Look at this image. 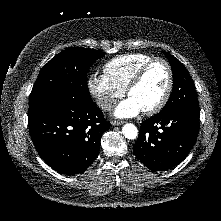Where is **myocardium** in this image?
<instances>
[{
	"label": "myocardium",
	"instance_id": "f54148a6",
	"mask_svg": "<svg viewBox=\"0 0 221 221\" xmlns=\"http://www.w3.org/2000/svg\"><path fill=\"white\" fill-rule=\"evenodd\" d=\"M156 62L162 63L167 70V76H168L167 85L161 99L157 102V104H155L153 107L149 109L142 110V113L145 115H153L158 113L166 105L171 95L174 78H173L172 67L169 64V62L161 57L151 58L150 60H148L147 62H145L143 65L140 66V68L133 75L132 79L130 80V82L128 83L125 89L126 95L129 96L130 92L141 82L143 76L145 75L149 67Z\"/></svg>",
	"mask_w": 221,
	"mask_h": 221
}]
</instances>
